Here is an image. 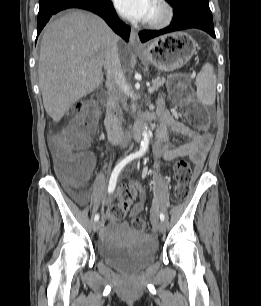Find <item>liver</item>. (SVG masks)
Returning a JSON list of instances; mask_svg holds the SVG:
<instances>
[{
	"mask_svg": "<svg viewBox=\"0 0 261 306\" xmlns=\"http://www.w3.org/2000/svg\"><path fill=\"white\" fill-rule=\"evenodd\" d=\"M118 36L99 16L77 10L52 21L40 45L39 85L48 115L59 122L70 107L99 87L102 67Z\"/></svg>",
	"mask_w": 261,
	"mask_h": 306,
	"instance_id": "6515ba94",
	"label": "liver"
}]
</instances>
